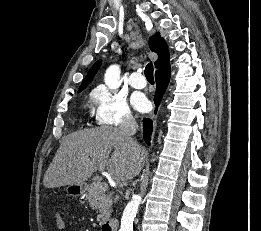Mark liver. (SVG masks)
I'll list each match as a JSON object with an SVG mask.
<instances>
[{"instance_id":"6515ba94","label":"liver","mask_w":261,"mask_h":231,"mask_svg":"<svg viewBox=\"0 0 261 231\" xmlns=\"http://www.w3.org/2000/svg\"><path fill=\"white\" fill-rule=\"evenodd\" d=\"M145 158V151L127 143L118 128L81 130L64 138L43 183L46 188L83 184L97 170L125 182L139 174Z\"/></svg>"}]
</instances>
